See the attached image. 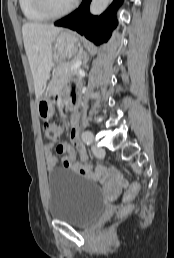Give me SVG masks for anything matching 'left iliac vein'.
I'll list each match as a JSON object with an SVG mask.
<instances>
[{
  "instance_id": "1",
  "label": "left iliac vein",
  "mask_w": 174,
  "mask_h": 258,
  "mask_svg": "<svg viewBox=\"0 0 174 258\" xmlns=\"http://www.w3.org/2000/svg\"><path fill=\"white\" fill-rule=\"evenodd\" d=\"M92 151H93V154L96 156V157H103L105 155V150L101 147H97V146H93L92 147Z\"/></svg>"
}]
</instances>
